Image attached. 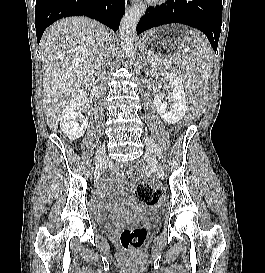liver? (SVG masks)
<instances>
[{"label":"liver","mask_w":265,"mask_h":273,"mask_svg":"<svg viewBox=\"0 0 265 273\" xmlns=\"http://www.w3.org/2000/svg\"><path fill=\"white\" fill-rule=\"evenodd\" d=\"M107 41L105 27L87 17L62 19L43 34V108L51 130L69 101L95 81Z\"/></svg>","instance_id":"liver-1"}]
</instances>
